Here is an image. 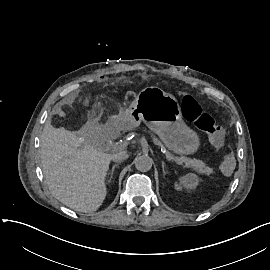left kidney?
Returning <instances> with one entry per match:
<instances>
[{
	"label": "left kidney",
	"instance_id": "5707ae66",
	"mask_svg": "<svg viewBox=\"0 0 270 270\" xmlns=\"http://www.w3.org/2000/svg\"><path fill=\"white\" fill-rule=\"evenodd\" d=\"M197 176L195 174L189 173L184 177V185L186 187H195L197 185ZM177 189H179V186H177Z\"/></svg>",
	"mask_w": 270,
	"mask_h": 270
}]
</instances>
